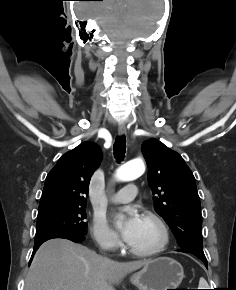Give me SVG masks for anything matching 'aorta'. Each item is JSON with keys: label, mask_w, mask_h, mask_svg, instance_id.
Instances as JSON below:
<instances>
[{"label": "aorta", "mask_w": 236, "mask_h": 290, "mask_svg": "<svg viewBox=\"0 0 236 290\" xmlns=\"http://www.w3.org/2000/svg\"><path fill=\"white\" fill-rule=\"evenodd\" d=\"M145 171V165L141 160H132L116 170L115 178L118 181H133Z\"/></svg>", "instance_id": "aorta-1"}]
</instances>
